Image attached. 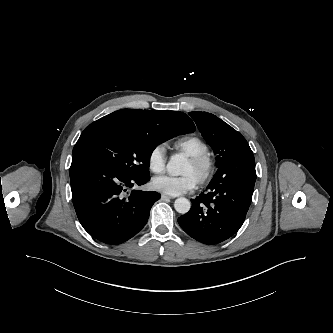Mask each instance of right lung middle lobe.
I'll use <instances>...</instances> for the list:
<instances>
[{
  "label": "right lung middle lobe",
  "mask_w": 333,
  "mask_h": 333,
  "mask_svg": "<svg viewBox=\"0 0 333 333\" xmlns=\"http://www.w3.org/2000/svg\"><path fill=\"white\" fill-rule=\"evenodd\" d=\"M176 134H148L124 126H88L73 148L102 160L117 172L138 178L149 176V160L160 143Z\"/></svg>",
  "instance_id": "1"
}]
</instances>
